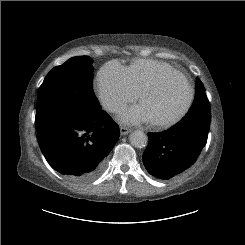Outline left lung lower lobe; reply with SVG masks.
<instances>
[{
  "label": "left lung lower lobe",
  "instance_id": "0a47b994",
  "mask_svg": "<svg viewBox=\"0 0 245 245\" xmlns=\"http://www.w3.org/2000/svg\"><path fill=\"white\" fill-rule=\"evenodd\" d=\"M209 128L173 126L149 133L143 163L150 174L168 180L189 169L198 159L208 138Z\"/></svg>",
  "mask_w": 245,
  "mask_h": 245
}]
</instances>
